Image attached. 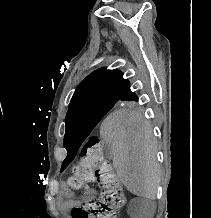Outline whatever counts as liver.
<instances>
[{"label": "liver", "mask_w": 211, "mask_h": 218, "mask_svg": "<svg viewBox=\"0 0 211 218\" xmlns=\"http://www.w3.org/2000/svg\"><path fill=\"white\" fill-rule=\"evenodd\" d=\"M100 136L110 144L113 166L122 184L135 196L153 200L160 184L156 140L136 110H115L101 124Z\"/></svg>", "instance_id": "liver-1"}]
</instances>
